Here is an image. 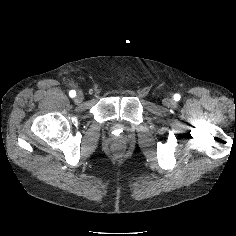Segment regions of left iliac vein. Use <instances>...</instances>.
<instances>
[{"label": "left iliac vein", "mask_w": 236, "mask_h": 236, "mask_svg": "<svg viewBox=\"0 0 236 236\" xmlns=\"http://www.w3.org/2000/svg\"><path fill=\"white\" fill-rule=\"evenodd\" d=\"M163 104L168 107H173L175 105V101L173 99L165 98L163 100Z\"/></svg>", "instance_id": "left-iliac-vein-1"}]
</instances>
